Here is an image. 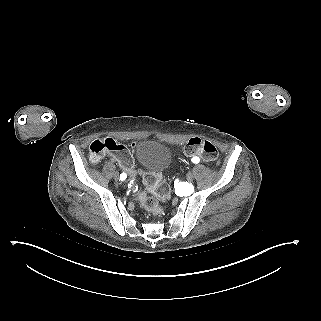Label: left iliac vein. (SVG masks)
<instances>
[{
  "label": "left iliac vein",
  "mask_w": 321,
  "mask_h": 321,
  "mask_svg": "<svg viewBox=\"0 0 321 321\" xmlns=\"http://www.w3.org/2000/svg\"><path fill=\"white\" fill-rule=\"evenodd\" d=\"M187 181L191 182L194 179V173L193 172H188L186 175Z\"/></svg>",
  "instance_id": "4c4485c4"
}]
</instances>
